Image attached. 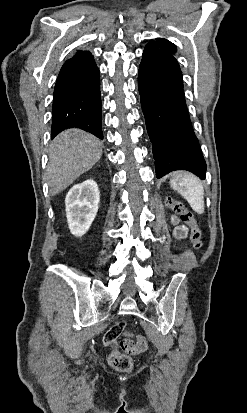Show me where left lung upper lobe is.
<instances>
[{"mask_svg": "<svg viewBox=\"0 0 247 413\" xmlns=\"http://www.w3.org/2000/svg\"><path fill=\"white\" fill-rule=\"evenodd\" d=\"M146 47H155V48H159V49L168 51L170 53H175L176 50H177L176 46L172 42H170V41H168L164 38H157L156 41L149 42L146 45Z\"/></svg>", "mask_w": 247, "mask_h": 413, "instance_id": "left-lung-upper-lobe-1", "label": "left lung upper lobe"}]
</instances>
